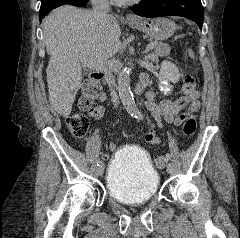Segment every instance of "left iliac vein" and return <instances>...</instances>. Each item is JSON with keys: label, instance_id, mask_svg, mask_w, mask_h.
<instances>
[{"label": "left iliac vein", "instance_id": "4c4485c4", "mask_svg": "<svg viewBox=\"0 0 240 238\" xmlns=\"http://www.w3.org/2000/svg\"><path fill=\"white\" fill-rule=\"evenodd\" d=\"M173 164L172 163H169L168 166H167V173L171 174L173 172Z\"/></svg>", "mask_w": 240, "mask_h": 238}]
</instances>
